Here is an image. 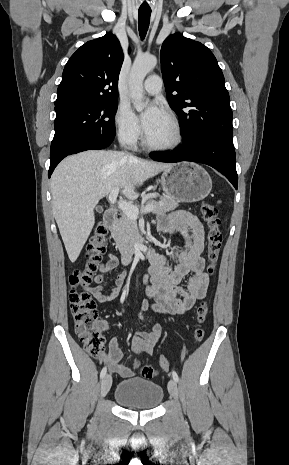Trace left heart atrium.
Instances as JSON below:
<instances>
[{"instance_id": "1", "label": "left heart atrium", "mask_w": 289, "mask_h": 465, "mask_svg": "<svg viewBox=\"0 0 289 465\" xmlns=\"http://www.w3.org/2000/svg\"><path fill=\"white\" fill-rule=\"evenodd\" d=\"M164 115L162 107L156 103H150L141 115V124L144 132L149 133Z\"/></svg>"}]
</instances>
